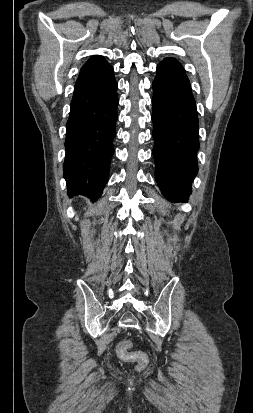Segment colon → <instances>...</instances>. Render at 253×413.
<instances>
[{"label":"colon","instance_id":"colon-1","mask_svg":"<svg viewBox=\"0 0 253 413\" xmlns=\"http://www.w3.org/2000/svg\"><path fill=\"white\" fill-rule=\"evenodd\" d=\"M133 344L130 340H122L116 348L117 356L127 362H135L139 369L144 368L148 363L147 355L140 351H131Z\"/></svg>","mask_w":253,"mask_h":413}]
</instances>
